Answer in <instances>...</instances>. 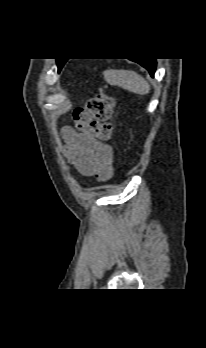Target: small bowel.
<instances>
[{
  "mask_svg": "<svg viewBox=\"0 0 206 348\" xmlns=\"http://www.w3.org/2000/svg\"><path fill=\"white\" fill-rule=\"evenodd\" d=\"M66 141L65 154L77 171L106 181L113 174V149L91 136L79 134L69 127L62 129Z\"/></svg>",
  "mask_w": 206,
  "mask_h": 348,
  "instance_id": "c3829d8e",
  "label": "small bowel"
}]
</instances>
